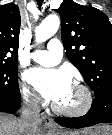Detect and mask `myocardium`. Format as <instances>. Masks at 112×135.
I'll use <instances>...</instances> for the list:
<instances>
[{
    "label": "myocardium",
    "mask_w": 112,
    "mask_h": 135,
    "mask_svg": "<svg viewBox=\"0 0 112 135\" xmlns=\"http://www.w3.org/2000/svg\"><path fill=\"white\" fill-rule=\"evenodd\" d=\"M73 86L83 94L82 105L76 109H65L56 103L53 108L57 113L63 116L75 118L84 116L91 110L93 105V96L90 89L86 85L82 83H74Z\"/></svg>",
    "instance_id": "f54148a6"
}]
</instances>
